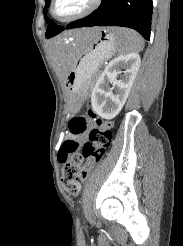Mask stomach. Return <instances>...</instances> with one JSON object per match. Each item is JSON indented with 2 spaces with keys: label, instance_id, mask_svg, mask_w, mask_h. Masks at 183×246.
<instances>
[{
  "label": "stomach",
  "instance_id": "1",
  "mask_svg": "<svg viewBox=\"0 0 183 246\" xmlns=\"http://www.w3.org/2000/svg\"><path fill=\"white\" fill-rule=\"evenodd\" d=\"M121 30V28L113 27L99 28L90 40H82V42L63 41L66 50L73 55L72 69L64 80L68 93L67 107L70 113H75L80 108L87 92V85L102 62L117 51L121 44L119 36Z\"/></svg>",
  "mask_w": 183,
  "mask_h": 246
}]
</instances>
